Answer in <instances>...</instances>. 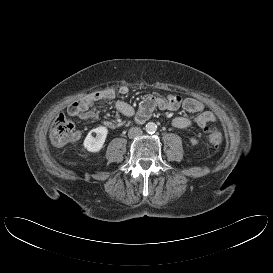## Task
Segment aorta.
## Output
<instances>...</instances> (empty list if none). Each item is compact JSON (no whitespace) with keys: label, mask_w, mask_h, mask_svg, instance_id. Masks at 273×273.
Masks as SVG:
<instances>
[{"label":"aorta","mask_w":273,"mask_h":273,"mask_svg":"<svg viewBox=\"0 0 273 273\" xmlns=\"http://www.w3.org/2000/svg\"><path fill=\"white\" fill-rule=\"evenodd\" d=\"M145 129L148 133L152 134L157 130V125L154 122H148Z\"/></svg>","instance_id":"762f6f07"}]
</instances>
